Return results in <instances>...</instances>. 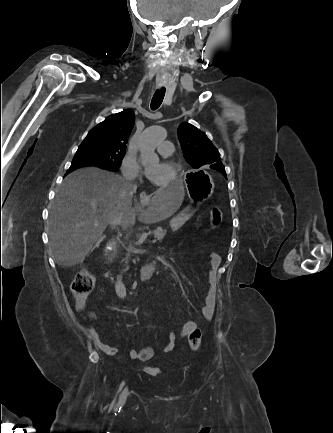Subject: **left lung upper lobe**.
<instances>
[{"mask_svg":"<svg viewBox=\"0 0 333 433\" xmlns=\"http://www.w3.org/2000/svg\"><path fill=\"white\" fill-rule=\"evenodd\" d=\"M178 137L187 162L194 168L203 165H217L226 174L220 160L218 150L213 146L205 133L188 123H181L178 128ZM218 168V169H220Z\"/></svg>","mask_w":333,"mask_h":433,"instance_id":"1","label":"left lung upper lobe"}]
</instances>
